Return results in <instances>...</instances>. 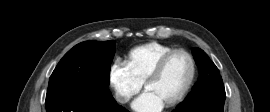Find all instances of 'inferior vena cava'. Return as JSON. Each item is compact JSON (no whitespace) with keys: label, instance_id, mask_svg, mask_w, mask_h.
Masks as SVG:
<instances>
[{"label":"inferior vena cava","instance_id":"1","mask_svg":"<svg viewBox=\"0 0 270 112\" xmlns=\"http://www.w3.org/2000/svg\"><path fill=\"white\" fill-rule=\"evenodd\" d=\"M129 97L128 96H117V101L120 103H126L129 101Z\"/></svg>","mask_w":270,"mask_h":112}]
</instances>
